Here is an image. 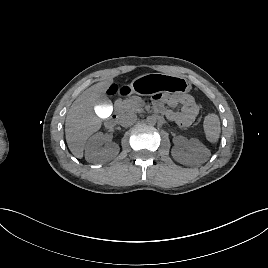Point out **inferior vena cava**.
<instances>
[{"instance_id":"inferior-vena-cava-1","label":"inferior vena cava","mask_w":268,"mask_h":268,"mask_svg":"<svg viewBox=\"0 0 268 268\" xmlns=\"http://www.w3.org/2000/svg\"><path fill=\"white\" fill-rule=\"evenodd\" d=\"M137 121V115L135 113H128L121 117L120 123L124 127L133 125Z\"/></svg>"}]
</instances>
